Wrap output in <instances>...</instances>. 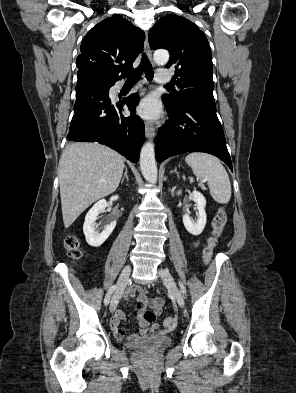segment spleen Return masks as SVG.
Instances as JSON below:
<instances>
[{
	"label": "spleen",
	"mask_w": 296,
	"mask_h": 393,
	"mask_svg": "<svg viewBox=\"0 0 296 393\" xmlns=\"http://www.w3.org/2000/svg\"><path fill=\"white\" fill-rule=\"evenodd\" d=\"M185 161L197 178L208 182L210 194L216 202L226 204L230 201L229 176L216 157L207 153H190L185 157Z\"/></svg>",
	"instance_id": "spleen-1"
}]
</instances>
